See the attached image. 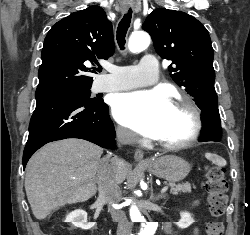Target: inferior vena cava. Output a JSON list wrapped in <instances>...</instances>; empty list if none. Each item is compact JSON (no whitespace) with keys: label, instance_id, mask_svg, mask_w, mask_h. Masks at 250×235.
Wrapping results in <instances>:
<instances>
[{"label":"inferior vena cava","instance_id":"obj_1","mask_svg":"<svg viewBox=\"0 0 250 235\" xmlns=\"http://www.w3.org/2000/svg\"><path fill=\"white\" fill-rule=\"evenodd\" d=\"M116 139L119 145L130 144L135 140V135L129 130L118 128ZM119 161L117 157L110 159L107 156L104 158V164L99 166L97 171L99 199L109 205L113 221L118 222L117 235H132V224L128 222L125 212L111 207V204L118 202L121 194L116 178V163Z\"/></svg>","mask_w":250,"mask_h":235}]
</instances>
